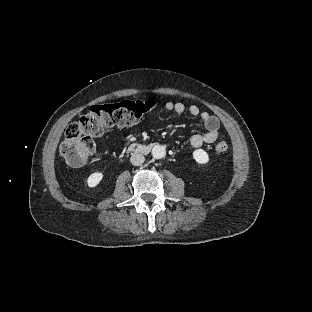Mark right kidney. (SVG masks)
I'll list each match as a JSON object with an SVG mask.
<instances>
[{
	"label": "right kidney",
	"mask_w": 312,
	"mask_h": 312,
	"mask_svg": "<svg viewBox=\"0 0 312 312\" xmlns=\"http://www.w3.org/2000/svg\"><path fill=\"white\" fill-rule=\"evenodd\" d=\"M104 174L100 171L93 172L90 174L86 180L88 191L97 187L100 182L103 180Z\"/></svg>",
	"instance_id": "obj_1"
}]
</instances>
